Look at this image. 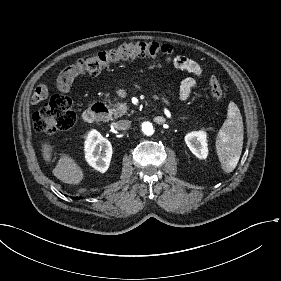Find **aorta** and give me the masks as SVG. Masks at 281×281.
<instances>
[{
  "mask_svg": "<svg viewBox=\"0 0 281 281\" xmlns=\"http://www.w3.org/2000/svg\"><path fill=\"white\" fill-rule=\"evenodd\" d=\"M142 131L146 135H152L154 132L153 125L150 122H144L142 124Z\"/></svg>",
  "mask_w": 281,
  "mask_h": 281,
  "instance_id": "obj_1",
  "label": "aorta"
}]
</instances>
